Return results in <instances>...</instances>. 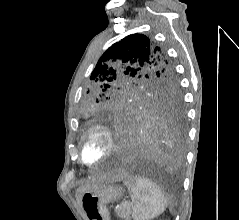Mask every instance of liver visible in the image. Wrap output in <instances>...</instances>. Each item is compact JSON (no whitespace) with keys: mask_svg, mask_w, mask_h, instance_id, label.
I'll return each instance as SVG.
<instances>
[{"mask_svg":"<svg viewBox=\"0 0 239 220\" xmlns=\"http://www.w3.org/2000/svg\"><path fill=\"white\" fill-rule=\"evenodd\" d=\"M125 177V172L123 170H116L114 172L98 176L92 179L90 182L80 186L77 189V201L80 203L81 195L91 189L101 187L103 184L114 183L122 180Z\"/></svg>","mask_w":239,"mask_h":220,"instance_id":"obj_1","label":"liver"}]
</instances>
